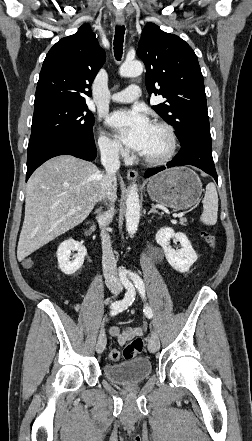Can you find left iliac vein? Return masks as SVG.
I'll use <instances>...</instances> for the list:
<instances>
[{"mask_svg":"<svg viewBox=\"0 0 252 441\" xmlns=\"http://www.w3.org/2000/svg\"><path fill=\"white\" fill-rule=\"evenodd\" d=\"M159 346H160V343H159L158 336L155 332H152L151 333V341L148 345V350L151 353H156L159 350Z\"/></svg>","mask_w":252,"mask_h":441,"instance_id":"obj_1","label":"left iliac vein"}]
</instances>
